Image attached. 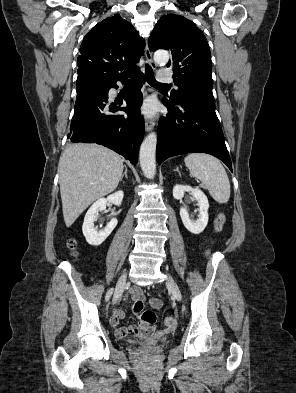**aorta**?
Returning a JSON list of instances; mask_svg holds the SVG:
<instances>
[{
  "label": "aorta",
  "mask_w": 296,
  "mask_h": 393,
  "mask_svg": "<svg viewBox=\"0 0 296 393\" xmlns=\"http://www.w3.org/2000/svg\"><path fill=\"white\" fill-rule=\"evenodd\" d=\"M169 54L165 50L156 51L154 54V61L156 63H167ZM156 144L157 135L150 133L142 142L139 151L140 166L144 175L153 179L156 173Z\"/></svg>",
  "instance_id": "762f6f07"
}]
</instances>
